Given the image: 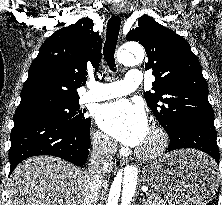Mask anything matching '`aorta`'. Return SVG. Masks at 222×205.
Listing matches in <instances>:
<instances>
[{
    "instance_id": "1",
    "label": "aorta",
    "mask_w": 222,
    "mask_h": 205,
    "mask_svg": "<svg viewBox=\"0 0 222 205\" xmlns=\"http://www.w3.org/2000/svg\"><path fill=\"white\" fill-rule=\"evenodd\" d=\"M144 57V50L139 44H127L119 53V61L124 66H135ZM139 182V169L136 165H128L114 178L106 205H129L133 200Z\"/></svg>"
}]
</instances>
